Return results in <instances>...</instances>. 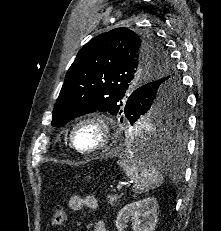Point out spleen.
Listing matches in <instances>:
<instances>
[{"label": "spleen", "mask_w": 221, "mask_h": 231, "mask_svg": "<svg viewBox=\"0 0 221 231\" xmlns=\"http://www.w3.org/2000/svg\"><path fill=\"white\" fill-rule=\"evenodd\" d=\"M117 163L134 181L132 190L137 194L159 187L163 182V177L153 166V161H144L130 154Z\"/></svg>", "instance_id": "1"}]
</instances>
